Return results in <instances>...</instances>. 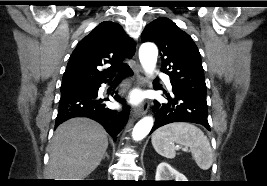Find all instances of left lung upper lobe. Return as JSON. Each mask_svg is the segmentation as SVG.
Returning <instances> with one entry per match:
<instances>
[{"mask_svg": "<svg viewBox=\"0 0 267 186\" xmlns=\"http://www.w3.org/2000/svg\"><path fill=\"white\" fill-rule=\"evenodd\" d=\"M143 42H154L160 50L161 71L171 78L173 87L206 97L201 55L192 38L170 19L161 17L148 24Z\"/></svg>", "mask_w": 267, "mask_h": 186, "instance_id": "obj_1", "label": "left lung upper lobe"}]
</instances>
